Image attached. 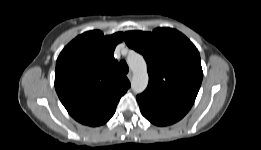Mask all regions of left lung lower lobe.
I'll return each mask as SVG.
<instances>
[{"mask_svg": "<svg viewBox=\"0 0 261 150\" xmlns=\"http://www.w3.org/2000/svg\"><path fill=\"white\" fill-rule=\"evenodd\" d=\"M141 113L151 123L158 126H166L179 121L187 113L173 106L146 99L140 95L137 97Z\"/></svg>", "mask_w": 261, "mask_h": 150, "instance_id": "left-lung-lower-lobe-1", "label": "left lung lower lobe"}]
</instances>
